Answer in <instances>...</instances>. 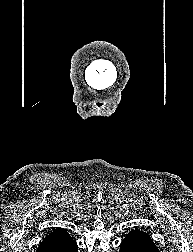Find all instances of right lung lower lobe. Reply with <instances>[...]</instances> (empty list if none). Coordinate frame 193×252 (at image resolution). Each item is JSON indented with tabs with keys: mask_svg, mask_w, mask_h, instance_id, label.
I'll return each instance as SVG.
<instances>
[{
	"mask_svg": "<svg viewBox=\"0 0 193 252\" xmlns=\"http://www.w3.org/2000/svg\"><path fill=\"white\" fill-rule=\"evenodd\" d=\"M37 252H78V246L65 230L55 229L40 243Z\"/></svg>",
	"mask_w": 193,
	"mask_h": 252,
	"instance_id": "98d812e1",
	"label": "right lung lower lobe"
}]
</instances>
